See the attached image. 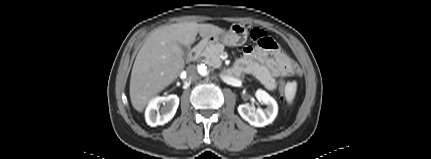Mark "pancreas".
Here are the masks:
<instances>
[{
  "instance_id": "pancreas-1",
  "label": "pancreas",
  "mask_w": 431,
  "mask_h": 159,
  "mask_svg": "<svg viewBox=\"0 0 431 159\" xmlns=\"http://www.w3.org/2000/svg\"><path fill=\"white\" fill-rule=\"evenodd\" d=\"M224 52V45L216 43L208 46L201 54L204 57L203 61L208 66L218 68L221 65L220 55Z\"/></svg>"
}]
</instances>
